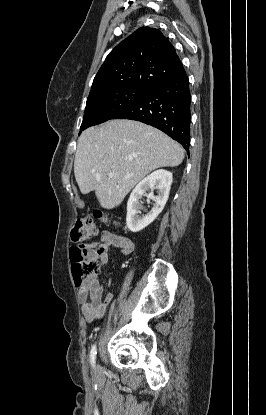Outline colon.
<instances>
[{
    "instance_id": "5ec220e1",
    "label": "colon",
    "mask_w": 266,
    "mask_h": 415,
    "mask_svg": "<svg viewBox=\"0 0 266 415\" xmlns=\"http://www.w3.org/2000/svg\"><path fill=\"white\" fill-rule=\"evenodd\" d=\"M108 222L102 212H95L93 216L78 218L71 231L72 241L78 243L95 237L98 233L96 222ZM118 225L117 222H113ZM70 258L73 269L74 281L78 286L84 284L90 277L98 274L101 269L99 262L88 258L82 245H75L71 248Z\"/></svg>"
}]
</instances>
